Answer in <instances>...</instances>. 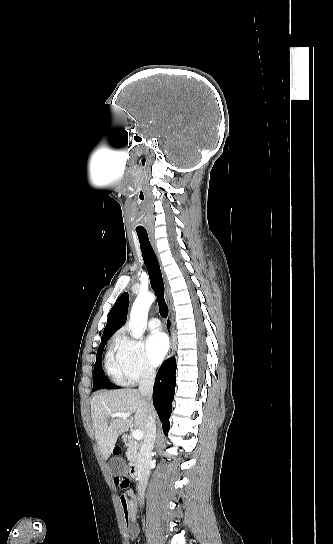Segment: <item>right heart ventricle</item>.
Returning a JSON list of instances; mask_svg holds the SVG:
<instances>
[{
    "instance_id": "1",
    "label": "right heart ventricle",
    "mask_w": 333,
    "mask_h": 544,
    "mask_svg": "<svg viewBox=\"0 0 333 544\" xmlns=\"http://www.w3.org/2000/svg\"><path fill=\"white\" fill-rule=\"evenodd\" d=\"M105 368H106L107 374L114 381L118 383L125 382L120 371L117 354L114 352L113 348H110L106 354Z\"/></svg>"
}]
</instances>
